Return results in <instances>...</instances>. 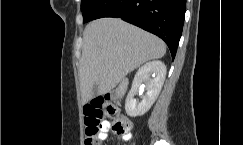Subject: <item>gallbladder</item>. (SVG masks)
I'll list each match as a JSON object with an SVG mask.
<instances>
[{"label":"gallbladder","mask_w":243,"mask_h":145,"mask_svg":"<svg viewBox=\"0 0 243 145\" xmlns=\"http://www.w3.org/2000/svg\"><path fill=\"white\" fill-rule=\"evenodd\" d=\"M96 95H98V88H97V85L95 84L93 86V96H96Z\"/></svg>","instance_id":"1"}]
</instances>
